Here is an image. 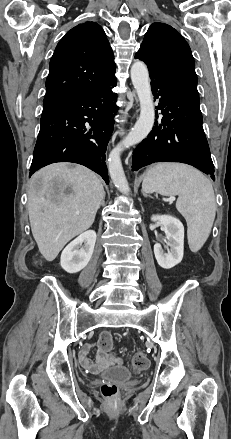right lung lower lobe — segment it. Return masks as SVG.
I'll return each mask as SVG.
<instances>
[{
    "instance_id": "1",
    "label": "right lung lower lobe",
    "mask_w": 231,
    "mask_h": 439,
    "mask_svg": "<svg viewBox=\"0 0 231 439\" xmlns=\"http://www.w3.org/2000/svg\"><path fill=\"white\" fill-rule=\"evenodd\" d=\"M115 85L116 78L41 116L30 176L51 163L74 162L95 171L109 184L105 152L118 109L114 104L117 95L111 91Z\"/></svg>"
}]
</instances>
